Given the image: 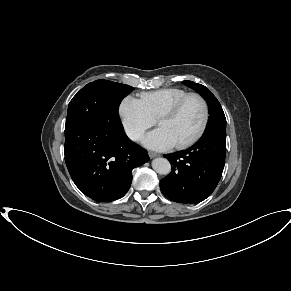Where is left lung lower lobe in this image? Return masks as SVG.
Instances as JSON below:
<instances>
[{"instance_id":"obj_1","label":"left lung lower lobe","mask_w":291,"mask_h":291,"mask_svg":"<svg viewBox=\"0 0 291 291\" xmlns=\"http://www.w3.org/2000/svg\"><path fill=\"white\" fill-rule=\"evenodd\" d=\"M226 134L203 135L187 150L164 155L171 173L160 181L163 195L178 203L195 204L216 188L225 164Z\"/></svg>"}]
</instances>
